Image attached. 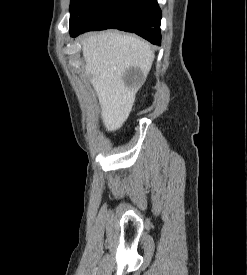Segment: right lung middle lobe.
<instances>
[{
	"instance_id": "dd1d6c3e",
	"label": "right lung middle lobe",
	"mask_w": 247,
	"mask_h": 275,
	"mask_svg": "<svg viewBox=\"0 0 247 275\" xmlns=\"http://www.w3.org/2000/svg\"><path fill=\"white\" fill-rule=\"evenodd\" d=\"M104 0H71L70 27H72L84 12L101 3Z\"/></svg>"
}]
</instances>
